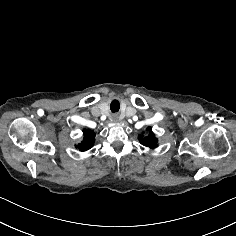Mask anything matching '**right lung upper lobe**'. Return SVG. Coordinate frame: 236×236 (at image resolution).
I'll use <instances>...</instances> for the list:
<instances>
[{
  "label": "right lung upper lobe",
  "instance_id": "obj_1",
  "mask_svg": "<svg viewBox=\"0 0 236 236\" xmlns=\"http://www.w3.org/2000/svg\"><path fill=\"white\" fill-rule=\"evenodd\" d=\"M83 135L84 140L80 144L76 145V148L80 151H87L94 145L95 134L92 131L85 129Z\"/></svg>",
  "mask_w": 236,
  "mask_h": 236
}]
</instances>
